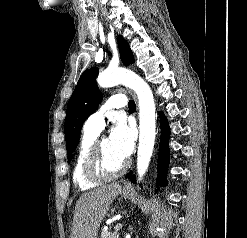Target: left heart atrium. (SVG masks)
I'll return each mask as SVG.
<instances>
[{"instance_id":"obj_1","label":"left heart atrium","mask_w":247,"mask_h":238,"mask_svg":"<svg viewBox=\"0 0 247 238\" xmlns=\"http://www.w3.org/2000/svg\"><path fill=\"white\" fill-rule=\"evenodd\" d=\"M134 129L123 119H118L111 130L109 141L115 152L123 159H127L134 149Z\"/></svg>"}]
</instances>
